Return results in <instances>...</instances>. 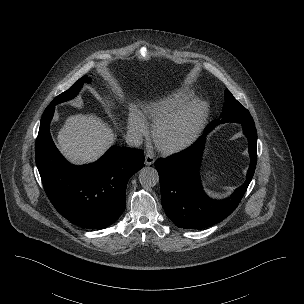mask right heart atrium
<instances>
[{"label":"right heart atrium","mask_w":304,"mask_h":304,"mask_svg":"<svg viewBox=\"0 0 304 304\" xmlns=\"http://www.w3.org/2000/svg\"><path fill=\"white\" fill-rule=\"evenodd\" d=\"M128 128L131 135L136 139H140L148 133V125L146 120L137 113H133L130 116Z\"/></svg>","instance_id":"1"}]
</instances>
